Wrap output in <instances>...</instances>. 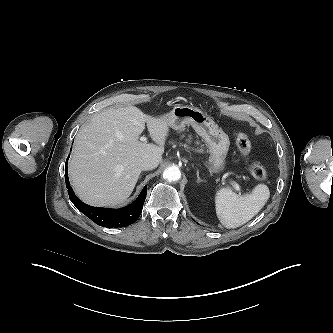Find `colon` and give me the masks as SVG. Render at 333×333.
<instances>
[{"mask_svg":"<svg viewBox=\"0 0 333 333\" xmlns=\"http://www.w3.org/2000/svg\"><path fill=\"white\" fill-rule=\"evenodd\" d=\"M236 144L243 156H248L251 153V142L248 136L243 132H238ZM250 174L257 180H264L267 176L265 167L260 163H253L249 167Z\"/></svg>","mask_w":333,"mask_h":333,"instance_id":"5ec220e1","label":"colon"}]
</instances>
